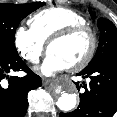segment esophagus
Segmentation results:
<instances>
[{
    "mask_svg": "<svg viewBox=\"0 0 117 117\" xmlns=\"http://www.w3.org/2000/svg\"><path fill=\"white\" fill-rule=\"evenodd\" d=\"M42 83H43V85H49L50 83H51V80L50 79H47V78H43L42 79Z\"/></svg>",
    "mask_w": 117,
    "mask_h": 117,
    "instance_id": "1",
    "label": "esophagus"
}]
</instances>
